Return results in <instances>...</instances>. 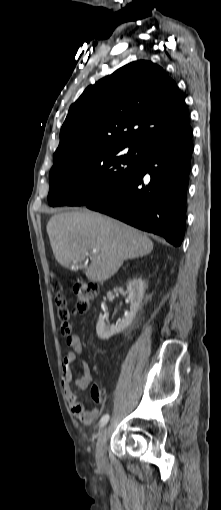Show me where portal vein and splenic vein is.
<instances>
[{
	"mask_svg": "<svg viewBox=\"0 0 221 510\" xmlns=\"http://www.w3.org/2000/svg\"><path fill=\"white\" fill-rule=\"evenodd\" d=\"M96 252H97V250H95V249H94V250H93V253H96Z\"/></svg>",
	"mask_w": 221,
	"mask_h": 510,
	"instance_id": "portal-vein-and-splenic-vein-1",
	"label": "portal vein and splenic vein"
}]
</instances>
